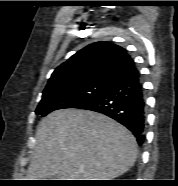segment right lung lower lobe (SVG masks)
I'll use <instances>...</instances> for the list:
<instances>
[{
    "label": "right lung lower lobe",
    "mask_w": 178,
    "mask_h": 186,
    "mask_svg": "<svg viewBox=\"0 0 178 186\" xmlns=\"http://www.w3.org/2000/svg\"><path fill=\"white\" fill-rule=\"evenodd\" d=\"M78 108L115 119L134 134L139 144L143 143L146 101L139 71L115 80L99 95Z\"/></svg>",
    "instance_id": "98d812e1"
}]
</instances>
